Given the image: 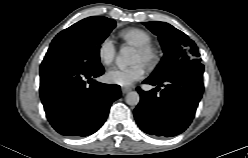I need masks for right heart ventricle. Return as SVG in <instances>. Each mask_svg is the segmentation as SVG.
<instances>
[{"mask_svg": "<svg viewBox=\"0 0 248 158\" xmlns=\"http://www.w3.org/2000/svg\"><path fill=\"white\" fill-rule=\"evenodd\" d=\"M118 36L125 42L135 46H143L151 43V36L146 31L139 28L125 29L119 32Z\"/></svg>", "mask_w": 248, "mask_h": 158, "instance_id": "obj_1", "label": "right heart ventricle"}]
</instances>
